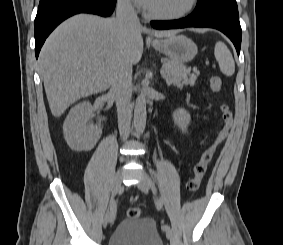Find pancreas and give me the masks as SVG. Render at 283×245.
Wrapping results in <instances>:
<instances>
[{
	"label": "pancreas",
	"instance_id": "1",
	"mask_svg": "<svg viewBox=\"0 0 283 245\" xmlns=\"http://www.w3.org/2000/svg\"><path fill=\"white\" fill-rule=\"evenodd\" d=\"M163 78L168 85L182 88L184 85L194 86L198 73H190L187 67L179 62L165 59L163 64Z\"/></svg>",
	"mask_w": 283,
	"mask_h": 245
}]
</instances>
